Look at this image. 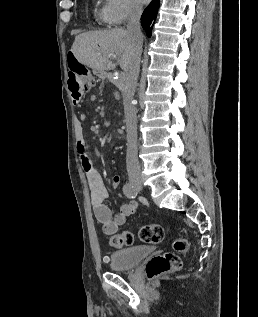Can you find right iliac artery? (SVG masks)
<instances>
[{"label": "right iliac artery", "mask_w": 258, "mask_h": 317, "mask_svg": "<svg viewBox=\"0 0 258 317\" xmlns=\"http://www.w3.org/2000/svg\"><path fill=\"white\" fill-rule=\"evenodd\" d=\"M123 192L126 197L131 199L136 198L137 196V191L135 187L129 184L128 182H126V184L123 186Z\"/></svg>", "instance_id": "obj_1"}]
</instances>
